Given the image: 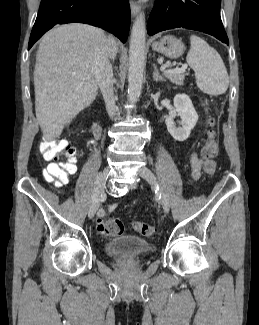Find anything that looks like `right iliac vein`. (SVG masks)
Instances as JSON below:
<instances>
[{
    "label": "right iliac vein",
    "mask_w": 259,
    "mask_h": 325,
    "mask_svg": "<svg viewBox=\"0 0 259 325\" xmlns=\"http://www.w3.org/2000/svg\"><path fill=\"white\" fill-rule=\"evenodd\" d=\"M109 175V168H105L100 174H99V187H98V194H96V196L92 199L90 207H89V211H88V216L89 218H93L98 207L100 204V197L102 196V194L104 193L105 190V185H106V181Z\"/></svg>",
    "instance_id": "right-iliac-vein-1"
}]
</instances>
